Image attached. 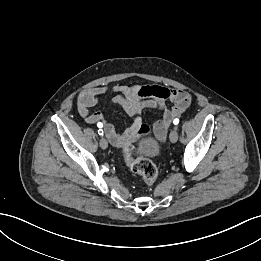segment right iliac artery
<instances>
[{"label":"right iliac artery","mask_w":261,"mask_h":261,"mask_svg":"<svg viewBox=\"0 0 261 261\" xmlns=\"http://www.w3.org/2000/svg\"><path fill=\"white\" fill-rule=\"evenodd\" d=\"M97 126H98L99 128H102V127H103V124H102V123H98ZM98 134H99V135H103V134H104L103 130H102V129H99V130H98Z\"/></svg>","instance_id":"right-iliac-artery-1"}]
</instances>
